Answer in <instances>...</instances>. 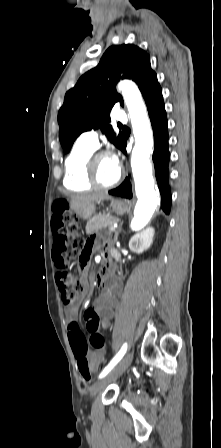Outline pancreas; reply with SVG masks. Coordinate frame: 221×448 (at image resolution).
Here are the masks:
<instances>
[{"label": "pancreas", "instance_id": "cf45deb5", "mask_svg": "<svg viewBox=\"0 0 221 448\" xmlns=\"http://www.w3.org/2000/svg\"><path fill=\"white\" fill-rule=\"evenodd\" d=\"M118 221L119 219L117 217L107 214H99L87 224L86 233L91 234L106 227H110Z\"/></svg>", "mask_w": 221, "mask_h": 448}]
</instances>
